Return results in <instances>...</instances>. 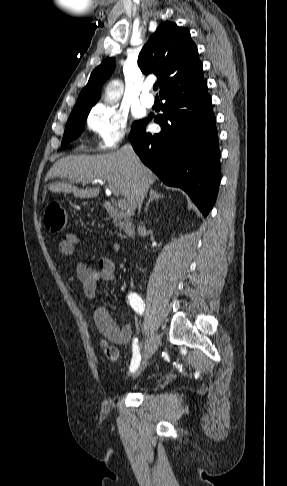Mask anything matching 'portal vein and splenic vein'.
<instances>
[{"label":"portal vein and splenic vein","mask_w":287,"mask_h":486,"mask_svg":"<svg viewBox=\"0 0 287 486\" xmlns=\"http://www.w3.org/2000/svg\"><path fill=\"white\" fill-rule=\"evenodd\" d=\"M108 193L111 194L113 193L114 195H116L118 197V192L117 190L112 186V185H109V190H108ZM118 207L122 210H126L128 207H129V204L128 202L125 200V199H119L118 198Z\"/></svg>","instance_id":"1"}]
</instances>
